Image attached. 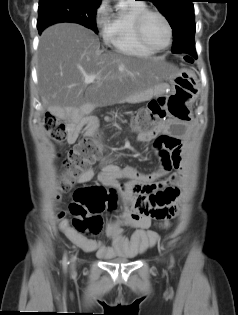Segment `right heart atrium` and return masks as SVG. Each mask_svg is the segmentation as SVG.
I'll return each mask as SVG.
<instances>
[{"label": "right heart atrium", "mask_w": 238, "mask_h": 315, "mask_svg": "<svg viewBox=\"0 0 238 315\" xmlns=\"http://www.w3.org/2000/svg\"><path fill=\"white\" fill-rule=\"evenodd\" d=\"M108 6L105 0L101 1L95 11V23L98 26H103L107 20Z\"/></svg>", "instance_id": "right-heart-atrium-1"}]
</instances>
